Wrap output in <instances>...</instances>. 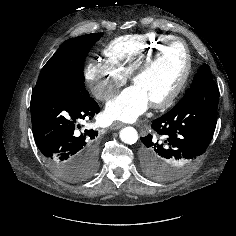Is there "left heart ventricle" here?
<instances>
[{"label": "left heart ventricle", "mask_w": 236, "mask_h": 236, "mask_svg": "<svg viewBox=\"0 0 236 236\" xmlns=\"http://www.w3.org/2000/svg\"><path fill=\"white\" fill-rule=\"evenodd\" d=\"M184 67L183 47L175 44L165 50L146 72L138 76L134 84L142 89L150 102L159 100L174 88Z\"/></svg>", "instance_id": "left-heart-ventricle-1"}]
</instances>
